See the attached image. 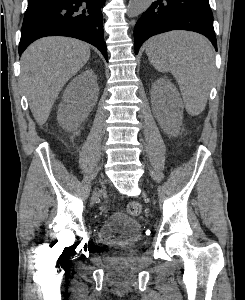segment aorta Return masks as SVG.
Wrapping results in <instances>:
<instances>
[{"instance_id":"obj_1","label":"aorta","mask_w":245,"mask_h":300,"mask_svg":"<svg viewBox=\"0 0 245 300\" xmlns=\"http://www.w3.org/2000/svg\"><path fill=\"white\" fill-rule=\"evenodd\" d=\"M153 0H129L128 16L136 17L146 11Z\"/></svg>"}]
</instances>
